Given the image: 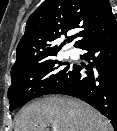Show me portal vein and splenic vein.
Returning <instances> with one entry per match:
<instances>
[{
    "instance_id": "obj_1",
    "label": "portal vein and splenic vein",
    "mask_w": 117,
    "mask_h": 131,
    "mask_svg": "<svg viewBox=\"0 0 117 131\" xmlns=\"http://www.w3.org/2000/svg\"><path fill=\"white\" fill-rule=\"evenodd\" d=\"M53 130H54V131H57V127H56V126H54V127H53Z\"/></svg>"
}]
</instances>
